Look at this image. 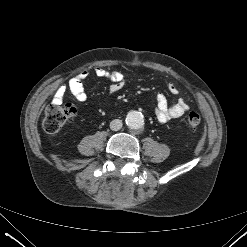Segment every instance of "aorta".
Listing matches in <instances>:
<instances>
[{"instance_id": "1", "label": "aorta", "mask_w": 247, "mask_h": 247, "mask_svg": "<svg viewBox=\"0 0 247 247\" xmlns=\"http://www.w3.org/2000/svg\"><path fill=\"white\" fill-rule=\"evenodd\" d=\"M126 124L132 129H139L144 124V117L141 112L132 110L126 116Z\"/></svg>"}]
</instances>
